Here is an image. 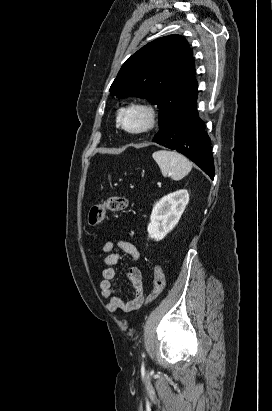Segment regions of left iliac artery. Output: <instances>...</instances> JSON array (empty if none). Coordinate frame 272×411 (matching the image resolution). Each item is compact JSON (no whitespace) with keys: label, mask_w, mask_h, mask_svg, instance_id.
Returning a JSON list of instances; mask_svg holds the SVG:
<instances>
[{"label":"left iliac artery","mask_w":272,"mask_h":411,"mask_svg":"<svg viewBox=\"0 0 272 411\" xmlns=\"http://www.w3.org/2000/svg\"><path fill=\"white\" fill-rule=\"evenodd\" d=\"M142 357H143V358L145 357V354H144V353H142Z\"/></svg>","instance_id":"obj_1"}]
</instances>
